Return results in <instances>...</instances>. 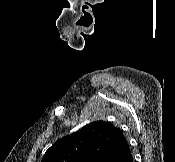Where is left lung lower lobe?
Segmentation results:
<instances>
[{"instance_id":"left-lung-lower-lobe-1","label":"left lung lower lobe","mask_w":175,"mask_h":162,"mask_svg":"<svg viewBox=\"0 0 175 162\" xmlns=\"http://www.w3.org/2000/svg\"><path fill=\"white\" fill-rule=\"evenodd\" d=\"M105 162H133V157L126 140L113 149Z\"/></svg>"}]
</instances>
